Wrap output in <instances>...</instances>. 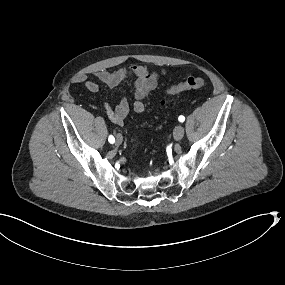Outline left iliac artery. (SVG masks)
Masks as SVG:
<instances>
[{"instance_id": "obj_1", "label": "left iliac artery", "mask_w": 285, "mask_h": 285, "mask_svg": "<svg viewBox=\"0 0 285 285\" xmlns=\"http://www.w3.org/2000/svg\"><path fill=\"white\" fill-rule=\"evenodd\" d=\"M178 120H179L180 122H184V121H185V117L181 115V116H179Z\"/></svg>"}]
</instances>
